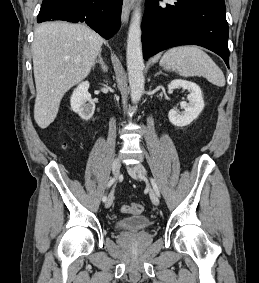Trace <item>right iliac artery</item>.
I'll return each instance as SVG.
<instances>
[{"mask_svg": "<svg viewBox=\"0 0 259 283\" xmlns=\"http://www.w3.org/2000/svg\"><path fill=\"white\" fill-rule=\"evenodd\" d=\"M115 181H116V178L110 179V181L107 184V188H110L114 184ZM102 201L103 202L107 201V196L106 195L103 196Z\"/></svg>", "mask_w": 259, "mask_h": 283, "instance_id": "right-iliac-artery-1", "label": "right iliac artery"}]
</instances>
